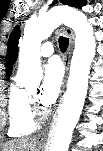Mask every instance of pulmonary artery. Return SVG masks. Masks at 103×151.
<instances>
[{
	"instance_id": "e3ab8cb5",
	"label": "pulmonary artery",
	"mask_w": 103,
	"mask_h": 151,
	"mask_svg": "<svg viewBox=\"0 0 103 151\" xmlns=\"http://www.w3.org/2000/svg\"><path fill=\"white\" fill-rule=\"evenodd\" d=\"M54 48L51 42H45L40 49V55L43 57H49L53 54Z\"/></svg>"
}]
</instances>
